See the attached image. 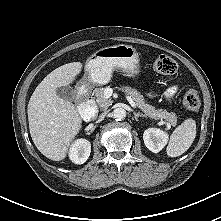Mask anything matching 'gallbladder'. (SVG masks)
Returning a JSON list of instances; mask_svg holds the SVG:
<instances>
[{
  "instance_id": "bac80fb5",
  "label": "gallbladder",
  "mask_w": 221,
  "mask_h": 221,
  "mask_svg": "<svg viewBox=\"0 0 221 221\" xmlns=\"http://www.w3.org/2000/svg\"><path fill=\"white\" fill-rule=\"evenodd\" d=\"M57 94L62 99H65L68 101L76 100V93L70 86H63V87L57 88Z\"/></svg>"
}]
</instances>
